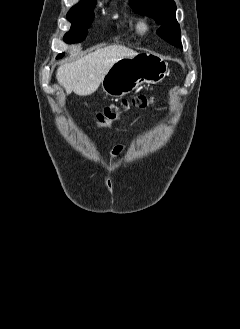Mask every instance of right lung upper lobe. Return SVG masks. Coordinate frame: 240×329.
<instances>
[{
  "label": "right lung upper lobe",
  "mask_w": 240,
  "mask_h": 329,
  "mask_svg": "<svg viewBox=\"0 0 240 329\" xmlns=\"http://www.w3.org/2000/svg\"><path fill=\"white\" fill-rule=\"evenodd\" d=\"M93 6H95L94 0H82V1H80V3H78L71 9H83V8H90Z\"/></svg>",
  "instance_id": "1"
}]
</instances>
